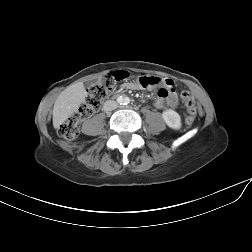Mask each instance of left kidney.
I'll use <instances>...</instances> for the list:
<instances>
[{
	"mask_svg": "<svg viewBox=\"0 0 252 252\" xmlns=\"http://www.w3.org/2000/svg\"><path fill=\"white\" fill-rule=\"evenodd\" d=\"M162 117L168 127L172 129L181 128V118H180V115L176 111L172 109H166L163 112Z\"/></svg>",
	"mask_w": 252,
	"mask_h": 252,
	"instance_id": "left-kidney-1",
	"label": "left kidney"
}]
</instances>
